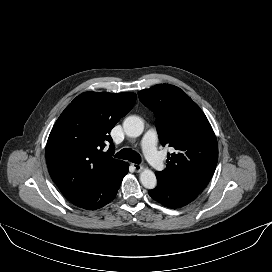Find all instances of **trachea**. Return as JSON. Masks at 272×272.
<instances>
[{
    "mask_svg": "<svg viewBox=\"0 0 272 272\" xmlns=\"http://www.w3.org/2000/svg\"><path fill=\"white\" fill-rule=\"evenodd\" d=\"M115 157L119 159L129 160L136 164H140L141 162L140 155L131 149H122L115 154Z\"/></svg>",
    "mask_w": 272,
    "mask_h": 272,
    "instance_id": "obj_1",
    "label": "trachea"
}]
</instances>
